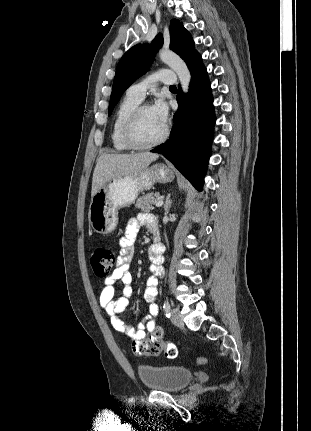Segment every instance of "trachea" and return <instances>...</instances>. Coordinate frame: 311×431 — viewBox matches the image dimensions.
<instances>
[{"instance_id": "1", "label": "trachea", "mask_w": 311, "mask_h": 431, "mask_svg": "<svg viewBox=\"0 0 311 431\" xmlns=\"http://www.w3.org/2000/svg\"><path fill=\"white\" fill-rule=\"evenodd\" d=\"M169 88H176V87H175V85H171V87H169Z\"/></svg>"}]
</instances>
